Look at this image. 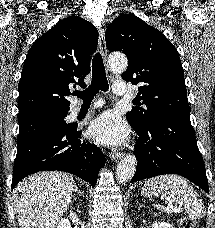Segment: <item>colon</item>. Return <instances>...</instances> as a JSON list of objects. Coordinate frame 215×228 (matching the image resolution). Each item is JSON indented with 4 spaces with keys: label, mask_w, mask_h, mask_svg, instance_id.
<instances>
[{
    "label": "colon",
    "mask_w": 215,
    "mask_h": 228,
    "mask_svg": "<svg viewBox=\"0 0 215 228\" xmlns=\"http://www.w3.org/2000/svg\"><path fill=\"white\" fill-rule=\"evenodd\" d=\"M181 228H198L197 223L191 218H183L181 221Z\"/></svg>",
    "instance_id": "colon-1"
}]
</instances>
